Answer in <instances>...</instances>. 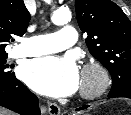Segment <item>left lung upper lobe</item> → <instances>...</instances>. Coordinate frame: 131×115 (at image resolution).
Segmentation results:
<instances>
[{
	"instance_id": "1",
	"label": "left lung upper lobe",
	"mask_w": 131,
	"mask_h": 115,
	"mask_svg": "<svg viewBox=\"0 0 131 115\" xmlns=\"http://www.w3.org/2000/svg\"><path fill=\"white\" fill-rule=\"evenodd\" d=\"M80 29L90 53L110 72L108 97L131 98V22L111 0H75Z\"/></svg>"
}]
</instances>
